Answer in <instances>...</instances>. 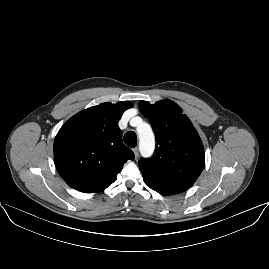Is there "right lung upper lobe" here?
<instances>
[{
    "mask_svg": "<svg viewBox=\"0 0 269 269\" xmlns=\"http://www.w3.org/2000/svg\"><path fill=\"white\" fill-rule=\"evenodd\" d=\"M132 107L129 101L102 103L71 117L54 140L58 173L72 188L100 192L117 179L127 160L135 158L122 142L118 121Z\"/></svg>",
    "mask_w": 269,
    "mask_h": 269,
    "instance_id": "right-lung-upper-lobe-1",
    "label": "right lung upper lobe"
}]
</instances>
